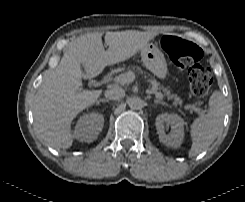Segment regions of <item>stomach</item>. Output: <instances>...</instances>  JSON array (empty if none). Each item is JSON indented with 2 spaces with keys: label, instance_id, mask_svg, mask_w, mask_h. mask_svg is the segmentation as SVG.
<instances>
[{
  "label": "stomach",
  "instance_id": "1",
  "mask_svg": "<svg viewBox=\"0 0 245 202\" xmlns=\"http://www.w3.org/2000/svg\"><path fill=\"white\" fill-rule=\"evenodd\" d=\"M141 59L144 66L156 77L164 80L168 74L167 63L164 54L154 43H147L141 50Z\"/></svg>",
  "mask_w": 245,
  "mask_h": 202
}]
</instances>
